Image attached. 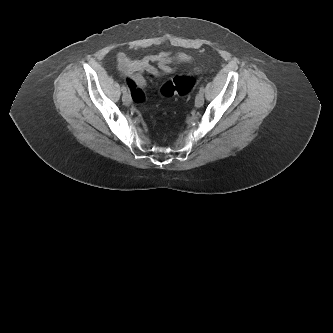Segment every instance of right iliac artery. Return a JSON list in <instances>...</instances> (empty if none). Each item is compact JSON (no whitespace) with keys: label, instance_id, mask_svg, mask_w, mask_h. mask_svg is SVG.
<instances>
[{"label":"right iliac artery","instance_id":"1","mask_svg":"<svg viewBox=\"0 0 333 333\" xmlns=\"http://www.w3.org/2000/svg\"><path fill=\"white\" fill-rule=\"evenodd\" d=\"M121 90H122L123 93H126V92H127V87H126L125 85H123V86L121 87Z\"/></svg>","mask_w":333,"mask_h":333}]
</instances>
